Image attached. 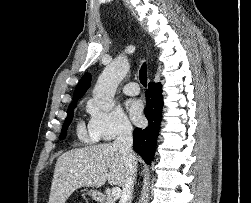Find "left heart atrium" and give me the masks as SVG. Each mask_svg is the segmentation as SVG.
<instances>
[{
	"instance_id": "39dd6f15",
	"label": "left heart atrium",
	"mask_w": 251,
	"mask_h": 203,
	"mask_svg": "<svg viewBox=\"0 0 251 203\" xmlns=\"http://www.w3.org/2000/svg\"><path fill=\"white\" fill-rule=\"evenodd\" d=\"M129 111L135 122L140 123L143 119V104L139 100L129 102Z\"/></svg>"
}]
</instances>
